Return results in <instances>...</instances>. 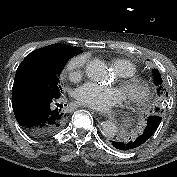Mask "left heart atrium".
Segmentation results:
<instances>
[{
    "instance_id": "1",
    "label": "left heart atrium",
    "mask_w": 177,
    "mask_h": 177,
    "mask_svg": "<svg viewBox=\"0 0 177 177\" xmlns=\"http://www.w3.org/2000/svg\"><path fill=\"white\" fill-rule=\"evenodd\" d=\"M75 98L86 107L97 111H107L123 102L124 93L117 87L87 82L76 90Z\"/></svg>"
}]
</instances>
